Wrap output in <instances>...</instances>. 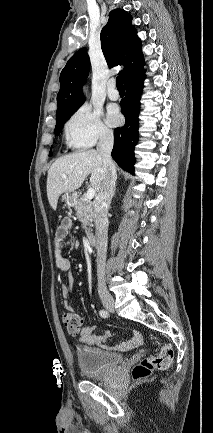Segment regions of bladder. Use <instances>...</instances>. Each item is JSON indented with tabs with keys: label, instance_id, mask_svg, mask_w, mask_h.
<instances>
[{
	"label": "bladder",
	"instance_id": "1",
	"mask_svg": "<svg viewBox=\"0 0 213 433\" xmlns=\"http://www.w3.org/2000/svg\"><path fill=\"white\" fill-rule=\"evenodd\" d=\"M76 359L81 373L91 379L108 376L115 372L124 361L121 354L88 346H81L77 349Z\"/></svg>",
	"mask_w": 213,
	"mask_h": 433
}]
</instances>
